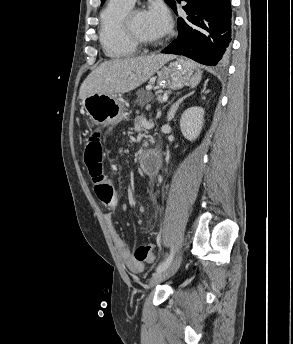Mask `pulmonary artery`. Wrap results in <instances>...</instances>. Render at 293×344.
I'll return each instance as SVG.
<instances>
[{"mask_svg": "<svg viewBox=\"0 0 293 344\" xmlns=\"http://www.w3.org/2000/svg\"><path fill=\"white\" fill-rule=\"evenodd\" d=\"M116 1H121V2H125V3L133 5L136 0H116Z\"/></svg>", "mask_w": 293, "mask_h": 344, "instance_id": "obj_1", "label": "pulmonary artery"}]
</instances>
